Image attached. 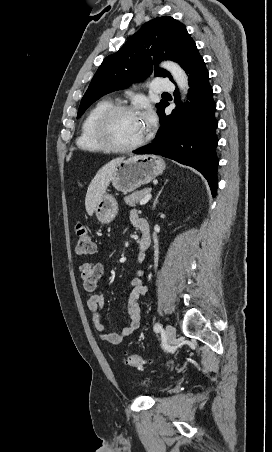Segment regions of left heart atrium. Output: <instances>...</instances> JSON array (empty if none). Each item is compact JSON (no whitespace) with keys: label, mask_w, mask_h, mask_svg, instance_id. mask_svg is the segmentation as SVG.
<instances>
[{"label":"left heart atrium","mask_w":272,"mask_h":452,"mask_svg":"<svg viewBox=\"0 0 272 452\" xmlns=\"http://www.w3.org/2000/svg\"><path fill=\"white\" fill-rule=\"evenodd\" d=\"M145 119H146L147 126L152 125L155 122V115H154V113L152 111L146 112Z\"/></svg>","instance_id":"obj_1"}]
</instances>
